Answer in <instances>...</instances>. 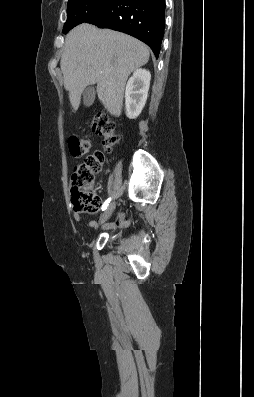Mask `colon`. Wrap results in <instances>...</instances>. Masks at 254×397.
Returning <instances> with one entry per match:
<instances>
[{
  "instance_id": "5ec220e1",
  "label": "colon",
  "mask_w": 254,
  "mask_h": 397,
  "mask_svg": "<svg viewBox=\"0 0 254 397\" xmlns=\"http://www.w3.org/2000/svg\"><path fill=\"white\" fill-rule=\"evenodd\" d=\"M90 129L94 134L103 137L105 152L111 151L119 140L114 122L105 114L95 115L91 120ZM68 145L74 157H81L90 149L89 139L77 135L69 137ZM104 159V153L99 151L86 156L76 165L70 178V196L76 212L92 214L99 209L101 199L92 190V184L102 170Z\"/></svg>"
}]
</instances>
